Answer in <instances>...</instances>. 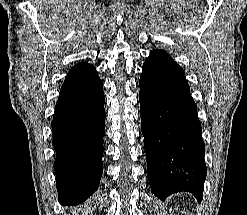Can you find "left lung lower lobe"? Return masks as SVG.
<instances>
[{
  "label": "left lung lower lobe",
  "instance_id": "left-lung-lower-lobe-1",
  "mask_svg": "<svg viewBox=\"0 0 247 215\" xmlns=\"http://www.w3.org/2000/svg\"><path fill=\"white\" fill-rule=\"evenodd\" d=\"M142 69L141 131L151 190L160 199L186 191L201 202L205 145L184 71L162 50H153Z\"/></svg>",
  "mask_w": 247,
  "mask_h": 215
}]
</instances>
